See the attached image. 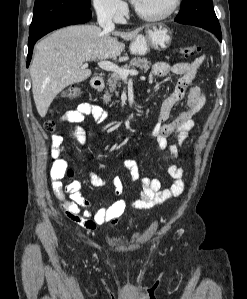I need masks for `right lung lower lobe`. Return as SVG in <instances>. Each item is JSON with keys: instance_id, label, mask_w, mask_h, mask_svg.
<instances>
[{"instance_id": "right-lung-lower-lobe-1", "label": "right lung lower lobe", "mask_w": 247, "mask_h": 299, "mask_svg": "<svg viewBox=\"0 0 247 299\" xmlns=\"http://www.w3.org/2000/svg\"><path fill=\"white\" fill-rule=\"evenodd\" d=\"M90 19H91L90 9L71 11L45 23L44 25L37 28L36 30L29 32L27 67L29 66V63L31 61L33 46L38 39H40L45 34L57 28L71 25V24L85 23Z\"/></svg>"}]
</instances>
